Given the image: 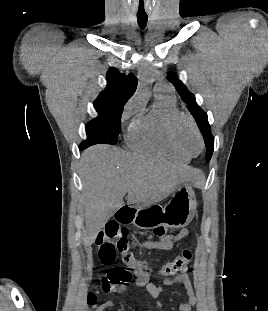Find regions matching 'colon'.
<instances>
[{"label": "colon", "mask_w": 268, "mask_h": 311, "mask_svg": "<svg viewBox=\"0 0 268 311\" xmlns=\"http://www.w3.org/2000/svg\"><path fill=\"white\" fill-rule=\"evenodd\" d=\"M96 244L98 247V258L106 265L113 264L119 257L124 264L130 265L134 260V255L130 251V240L128 231L120 228L115 222H110L99 233ZM192 253L184 250L174 259L166 262L160 269L162 276L170 277L177 273L187 271L191 266ZM133 278V274L126 268L114 267L107 271L101 278V287L104 292H113L123 286ZM95 303L94 294L88 295V304Z\"/></svg>", "instance_id": "5ec220e1"}]
</instances>
